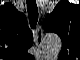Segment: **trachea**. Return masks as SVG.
<instances>
[{"label":"trachea","instance_id":"obj_1","mask_svg":"<svg viewBox=\"0 0 80 60\" xmlns=\"http://www.w3.org/2000/svg\"><path fill=\"white\" fill-rule=\"evenodd\" d=\"M26 3L30 26L32 29H35L38 21V8L36 0H27Z\"/></svg>","mask_w":80,"mask_h":60}]
</instances>
